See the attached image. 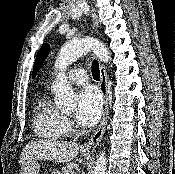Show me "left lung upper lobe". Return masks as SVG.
<instances>
[{
	"mask_svg": "<svg viewBox=\"0 0 175 174\" xmlns=\"http://www.w3.org/2000/svg\"><path fill=\"white\" fill-rule=\"evenodd\" d=\"M49 50H50V47L48 44H44L42 48L39 50L36 56L34 67H33V73H32L33 77L38 72L39 68L41 67V64L43 60L46 58V56L48 55Z\"/></svg>",
	"mask_w": 175,
	"mask_h": 174,
	"instance_id": "obj_1",
	"label": "left lung upper lobe"
}]
</instances>
